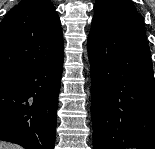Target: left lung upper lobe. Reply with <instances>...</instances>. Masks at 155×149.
Returning <instances> with one entry per match:
<instances>
[{
  "instance_id": "obj_1",
  "label": "left lung upper lobe",
  "mask_w": 155,
  "mask_h": 149,
  "mask_svg": "<svg viewBox=\"0 0 155 149\" xmlns=\"http://www.w3.org/2000/svg\"><path fill=\"white\" fill-rule=\"evenodd\" d=\"M91 29H106L129 21H142L130 0H97Z\"/></svg>"
}]
</instances>
